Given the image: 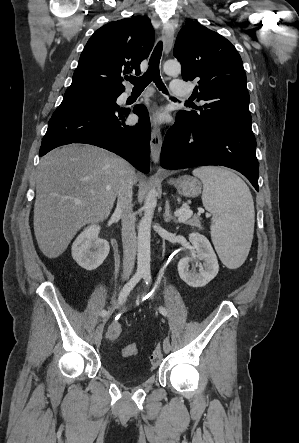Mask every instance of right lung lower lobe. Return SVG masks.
Listing matches in <instances>:
<instances>
[{
  "instance_id": "98d812e1",
  "label": "right lung lower lobe",
  "mask_w": 299,
  "mask_h": 443,
  "mask_svg": "<svg viewBox=\"0 0 299 443\" xmlns=\"http://www.w3.org/2000/svg\"><path fill=\"white\" fill-rule=\"evenodd\" d=\"M130 110L61 103L53 113L39 155L71 143L95 145L120 155L138 170L150 171V122L144 105H136L135 126L125 125Z\"/></svg>"
}]
</instances>
